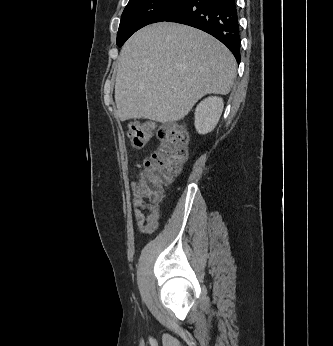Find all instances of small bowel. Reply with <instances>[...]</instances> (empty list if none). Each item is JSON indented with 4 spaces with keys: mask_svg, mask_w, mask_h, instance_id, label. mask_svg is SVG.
<instances>
[{
    "mask_svg": "<svg viewBox=\"0 0 333 346\" xmlns=\"http://www.w3.org/2000/svg\"><path fill=\"white\" fill-rule=\"evenodd\" d=\"M133 214L138 230L142 234L154 232L161 221V212L157 205L147 203L138 192V183L131 181Z\"/></svg>",
    "mask_w": 333,
    "mask_h": 346,
    "instance_id": "obj_1",
    "label": "small bowel"
}]
</instances>
